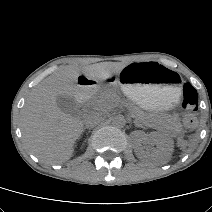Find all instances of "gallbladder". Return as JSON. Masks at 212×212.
I'll list each match as a JSON object with an SVG mask.
<instances>
[{
  "label": "gallbladder",
  "mask_w": 212,
  "mask_h": 212,
  "mask_svg": "<svg viewBox=\"0 0 212 212\" xmlns=\"http://www.w3.org/2000/svg\"><path fill=\"white\" fill-rule=\"evenodd\" d=\"M58 108L66 114L74 115L77 107V102L74 97L59 95L56 97Z\"/></svg>",
  "instance_id": "1"
}]
</instances>
